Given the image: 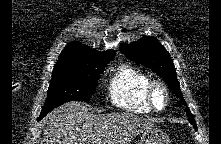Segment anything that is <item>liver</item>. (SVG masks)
<instances>
[{"mask_svg": "<svg viewBox=\"0 0 221 144\" xmlns=\"http://www.w3.org/2000/svg\"><path fill=\"white\" fill-rule=\"evenodd\" d=\"M42 124L46 144H130L139 133L157 128L154 120L132 113H90L80 102L61 105Z\"/></svg>", "mask_w": 221, "mask_h": 144, "instance_id": "6515ba94", "label": "liver"}]
</instances>
